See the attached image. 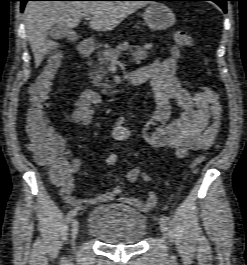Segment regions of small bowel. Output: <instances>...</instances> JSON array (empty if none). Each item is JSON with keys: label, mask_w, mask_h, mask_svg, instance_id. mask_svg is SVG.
Returning a JSON list of instances; mask_svg holds the SVG:
<instances>
[{"label": "small bowel", "mask_w": 247, "mask_h": 265, "mask_svg": "<svg viewBox=\"0 0 247 265\" xmlns=\"http://www.w3.org/2000/svg\"><path fill=\"white\" fill-rule=\"evenodd\" d=\"M177 68L178 63L169 57L155 60L132 73L141 80V83L150 82L156 102L155 111L143 129L144 140L155 148L173 149L177 158L184 159L195 151L217 146L222 106L218 94L207 86L199 85L195 90L185 88L176 76ZM100 102L101 97L96 91L83 90L73 102L70 111L71 121L81 127H87L94 118V106ZM172 102L182 110L181 115L174 120H171ZM111 134L115 140L124 141L131 136V130L124 124H116ZM63 151L67 155L72 154L65 148ZM68 162V176L61 180L53 179V183L59 188L61 199L70 207L77 208L84 203L105 204L117 200L141 212H148L157 203L153 191H149L146 199L142 201L135 197L122 196L121 186H115L110 191L88 199H80L74 194V174L80 169L81 161L73 157ZM127 180L130 183L138 180L150 183L152 178L140 167L135 166L128 171Z\"/></svg>", "instance_id": "obj_1"}]
</instances>
